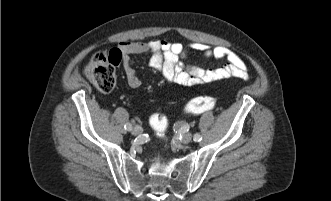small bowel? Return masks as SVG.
I'll return each instance as SVG.
<instances>
[{
    "label": "small bowel",
    "mask_w": 331,
    "mask_h": 201,
    "mask_svg": "<svg viewBox=\"0 0 331 201\" xmlns=\"http://www.w3.org/2000/svg\"><path fill=\"white\" fill-rule=\"evenodd\" d=\"M189 50L200 52L205 57L226 59L227 63L219 68L209 69L184 63ZM118 53L128 85L138 88L142 81L130 64V56L151 53L149 66L162 74L167 82L192 87L227 78L247 80L249 74L244 61L225 46L212 47L208 44L195 42L188 48L178 42L153 39L148 42L126 41L120 43Z\"/></svg>",
    "instance_id": "small-bowel-1"
}]
</instances>
